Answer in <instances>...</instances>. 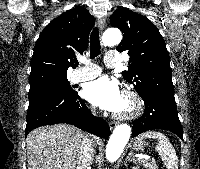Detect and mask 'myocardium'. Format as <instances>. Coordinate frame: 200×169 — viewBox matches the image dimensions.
I'll return each mask as SVG.
<instances>
[{"instance_id": "1", "label": "myocardium", "mask_w": 200, "mask_h": 169, "mask_svg": "<svg viewBox=\"0 0 200 169\" xmlns=\"http://www.w3.org/2000/svg\"><path fill=\"white\" fill-rule=\"evenodd\" d=\"M123 95L129 100L131 106L126 112L115 113V117L120 120H133L139 117L142 114L144 108L143 100L141 97L132 89H126L123 92Z\"/></svg>"}]
</instances>
